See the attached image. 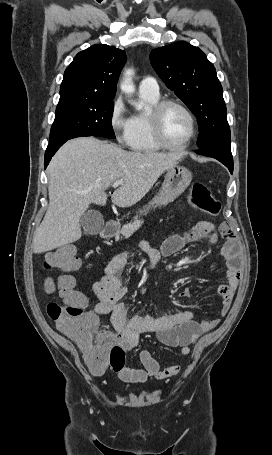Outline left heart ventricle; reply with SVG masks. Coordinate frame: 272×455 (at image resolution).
<instances>
[{
  "instance_id": "left-heart-ventricle-1",
  "label": "left heart ventricle",
  "mask_w": 272,
  "mask_h": 455,
  "mask_svg": "<svg viewBox=\"0 0 272 455\" xmlns=\"http://www.w3.org/2000/svg\"><path fill=\"white\" fill-rule=\"evenodd\" d=\"M162 129L165 139L170 144L178 145L188 138L190 122L180 108L171 106L163 114Z\"/></svg>"
}]
</instances>
